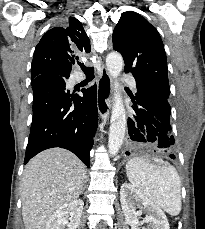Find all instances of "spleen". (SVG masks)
<instances>
[{
  "label": "spleen",
  "instance_id": "obj_1",
  "mask_svg": "<svg viewBox=\"0 0 205 229\" xmlns=\"http://www.w3.org/2000/svg\"><path fill=\"white\" fill-rule=\"evenodd\" d=\"M158 162L156 165L143 157L130 159L126 164L128 180L168 214L177 216L182 207L179 174L169 163Z\"/></svg>",
  "mask_w": 205,
  "mask_h": 229
}]
</instances>
